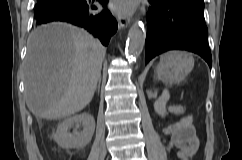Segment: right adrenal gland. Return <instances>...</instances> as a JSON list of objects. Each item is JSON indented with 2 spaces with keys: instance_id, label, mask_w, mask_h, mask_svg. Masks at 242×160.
<instances>
[{
  "instance_id": "1",
  "label": "right adrenal gland",
  "mask_w": 242,
  "mask_h": 160,
  "mask_svg": "<svg viewBox=\"0 0 242 160\" xmlns=\"http://www.w3.org/2000/svg\"><path fill=\"white\" fill-rule=\"evenodd\" d=\"M100 83H101V78L98 81V92L100 91Z\"/></svg>"
}]
</instances>
